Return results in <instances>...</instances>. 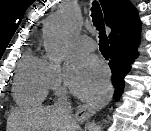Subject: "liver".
<instances>
[{"instance_id":"liver-1","label":"liver","mask_w":151,"mask_h":131,"mask_svg":"<svg viewBox=\"0 0 151 131\" xmlns=\"http://www.w3.org/2000/svg\"><path fill=\"white\" fill-rule=\"evenodd\" d=\"M64 113L52 107L20 109L13 112L7 123V131H71ZM76 131V127L74 128Z\"/></svg>"}]
</instances>
